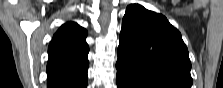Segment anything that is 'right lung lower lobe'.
I'll return each instance as SVG.
<instances>
[{
	"instance_id": "right-lung-lower-lobe-1",
	"label": "right lung lower lobe",
	"mask_w": 223,
	"mask_h": 88,
	"mask_svg": "<svg viewBox=\"0 0 223 88\" xmlns=\"http://www.w3.org/2000/svg\"><path fill=\"white\" fill-rule=\"evenodd\" d=\"M86 86H87V80L75 86V88H86Z\"/></svg>"
}]
</instances>
